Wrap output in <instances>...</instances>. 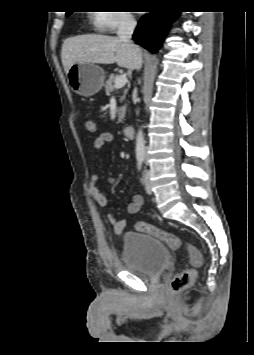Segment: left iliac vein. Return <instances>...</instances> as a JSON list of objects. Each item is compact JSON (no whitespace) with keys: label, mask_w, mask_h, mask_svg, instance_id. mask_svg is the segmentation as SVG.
Wrapping results in <instances>:
<instances>
[{"label":"left iliac vein","mask_w":254,"mask_h":355,"mask_svg":"<svg viewBox=\"0 0 254 355\" xmlns=\"http://www.w3.org/2000/svg\"><path fill=\"white\" fill-rule=\"evenodd\" d=\"M143 182L145 184V190H146L147 194H152V188H151V184H150V180H149V172L148 171H146L145 178H144Z\"/></svg>","instance_id":"left-iliac-vein-1"}]
</instances>
